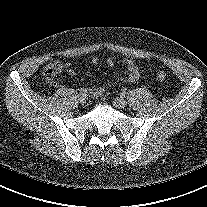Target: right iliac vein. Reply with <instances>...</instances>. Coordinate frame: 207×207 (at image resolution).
Listing matches in <instances>:
<instances>
[{"mask_svg":"<svg viewBox=\"0 0 207 207\" xmlns=\"http://www.w3.org/2000/svg\"><path fill=\"white\" fill-rule=\"evenodd\" d=\"M79 101H80L81 104L84 105L86 103V101H87L86 95H80L79 96Z\"/></svg>","mask_w":207,"mask_h":207,"instance_id":"obj_1","label":"right iliac vein"}]
</instances>
